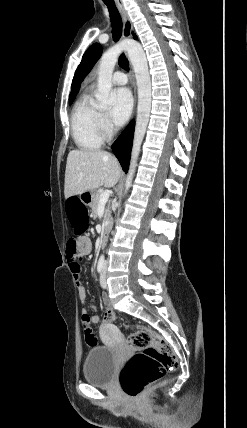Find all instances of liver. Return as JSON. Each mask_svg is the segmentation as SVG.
Listing matches in <instances>:
<instances>
[{
    "instance_id": "liver-1",
    "label": "liver",
    "mask_w": 247,
    "mask_h": 428,
    "mask_svg": "<svg viewBox=\"0 0 247 428\" xmlns=\"http://www.w3.org/2000/svg\"><path fill=\"white\" fill-rule=\"evenodd\" d=\"M118 160L103 150H72L67 157L65 198L105 186L114 187L119 181Z\"/></svg>"
}]
</instances>
